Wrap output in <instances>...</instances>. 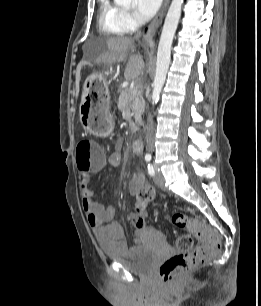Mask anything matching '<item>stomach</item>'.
Here are the masks:
<instances>
[{"mask_svg": "<svg viewBox=\"0 0 261 306\" xmlns=\"http://www.w3.org/2000/svg\"><path fill=\"white\" fill-rule=\"evenodd\" d=\"M79 115L84 129L94 135H104L112 129L110 95L104 82L98 80L85 86Z\"/></svg>", "mask_w": 261, "mask_h": 306, "instance_id": "obj_1", "label": "stomach"}]
</instances>
